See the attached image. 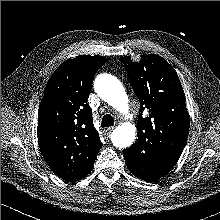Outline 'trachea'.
Masks as SVG:
<instances>
[{"mask_svg":"<svg viewBox=\"0 0 220 220\" xmlns=\"http://www.w3.org/2000/svg\"><path fill=\"white\" fill-rule=\"evenodd\" d=\"M114 125V119L111 115L106 114L101 121V126L102 127H110Z\"/></svg>","mask_w":220,"mask_h":220,"instance_id":"3493384b","label":"trachea"}]
</instances>
